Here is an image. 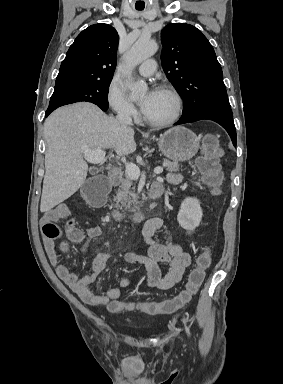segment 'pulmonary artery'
Segmentation results:
<instances>
[{
	"label": "pulmonary artery",
	"mask_w": 283,
	"mask_h": 384,
	"mask_svg": "<svg viewBox=\"0 0 283 384\" xmlns=\"http://www.w3.org/2000/svg\"><path fill=\"white\" fill-rule=\"evenodd\" d=\"M156 61H145L139 64L137 71L140 75L151 76L155 72Z\"/></svg>",
	"instance_id": "pulmonary-artery-1"
}]
</instances>
